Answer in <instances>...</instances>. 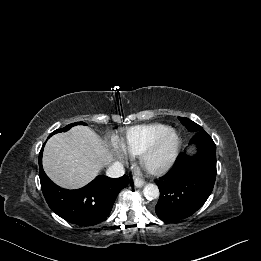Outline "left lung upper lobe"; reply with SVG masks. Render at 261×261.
I'll list each match as a JSON object with an SVG mask.
<instances>
[{"mask_svg": "<svg viewBox=\"0 0 261 261\" xmlns=\"http://www.w3.org/2000/svg\"><path fill=\"white\" fill-rule=\"evenodd\" d=\"M179 120L181 121V123L190 131V132H198V131H202L203 128L201 126H199L198 124H196L195 122L191 121L188 118L185 117H179Z\"/></svg>", "mask_w": 261, "mask_h": 261, "instance_id": "1", "label": "left lung upper lobe"}]
</instances>
